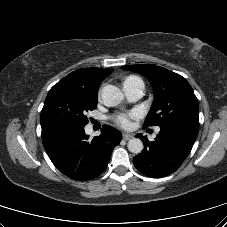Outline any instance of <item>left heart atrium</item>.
Instances as JSON below:
<instances>
[{"mask_svg": "<svg viewBox=\"0 0 227 227\" xmlns=\"http://www.w3.org/2000/svg\"><path fill=\"white\" fill-rule=\"evenodd\" d=\"M138 113L136 111H132L129 113H122L116 116L115 121L121 125L122 127H129L131 125V119L137 118Z\"/></svg>", "mask_w": 227, "mask_h": 227, "instance_id": "1", "label": "left heart atrium"}]
</instances>
